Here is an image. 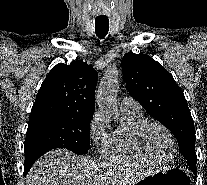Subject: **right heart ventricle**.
Here are the masks:
<instances>
[{
    "label": "right heart ventricle",
    "mask_w": 207,
    "mask_h": 185,
    "mask_svg": "<svg viewBox=\"0 0 207 185\" xmlns=\"http://www.w3.org/2000/svg\"><path fill=\"white\" fill-rule=\"evenodd\" d=\"M146 121L141 112L122 111L121 124L102 141L103 155L123 165L154 164V161L142 152L137 139L138 130Z\"/></svg>",
    "instance_id": "e07e8e85"
}]
</instances>
